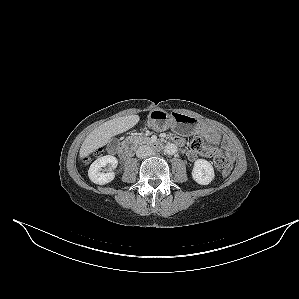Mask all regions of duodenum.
<instances>
[{"mask_svg":"<svg viewBox=\"0 0 299 299\" xmlns=\"http://www.w3.org/2000/svg\"><path fill=\"white\" fill-rule=\"evenodd\" d=\"M133 143L130 141L124 142L118 146V153L120 156L127 158L132 154L133 151ZM150 146L155 150H160L163 148V144L160 142H152Z\"/></svg>","mask_w":299,"mask_h":299,"instance_id":"410a0bca","label":"duodenum"}]
</instances>
